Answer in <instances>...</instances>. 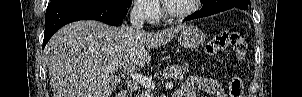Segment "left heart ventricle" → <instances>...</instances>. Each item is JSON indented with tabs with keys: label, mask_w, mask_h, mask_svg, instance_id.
<instances>
[{
	"label": "left heart ventricle",
	"mask_w": 302,
	"mask_h": 97,
	"mask_svg": "<svg viewBox=\"0 0 302 97\" xmlns=\"http://www.w3.org/2000/svg\"><path fill=\"white\" fill-rule=\"evenodd\" d=\"M170 7L174 12H182L192 6V0H169Z\"/></svg>",
	"instance_id": "left-heart-ventricle-1"
}]
</instances>
